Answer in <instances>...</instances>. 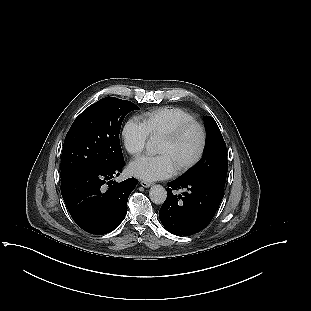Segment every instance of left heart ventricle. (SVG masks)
<instances>
[{
	"instance_id": "1",
	"label": "left heart ventricle",
	"mask_w": 311,
	"mask_h": 311,
	"mask_svg": "<svg viewBox=\"0 0 311 311\" xmlns=\"http://www.w3.org/2000/svg\"><path fill=\"white\" fill-rule=\"evenodd\" d=\"M198 141L199 136L197 130L191 129L174 143L161 140L158 153L167 155L174 168H176L194 155Z\"/></svg>"
}]
</instances>
